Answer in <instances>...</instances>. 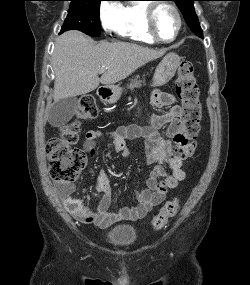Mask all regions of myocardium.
Masks as SVG:
<instances>
[{
	"instance_id": "myocardium-1",
	"label": "myocardium",
	"mask_w": 250,
	"mask_h": 285,
	"mask_svg": "<svg viewBox=\"0 0 250 285\" xmlns=\"http://www.w3.org/2000/svg\"><path fill=\"white\" fill-rule=\"evenodd\" d=\"M167 7L169 9H171L178 21V28L177 31L175 33V35L170 38V39H163L161 38L155 28V18H156V13L158 11V9L160 7ZM182 27H183V19H182V15L179 11V9L172 4L171 2H167V1H163V2H153L150 3L147 7V12H146V30L148 35L155 41L158 43H164V44H168V43H172L173 41H175L178 36L180 35L181 31H182Z\"/></svg>"
}]
</instances>
